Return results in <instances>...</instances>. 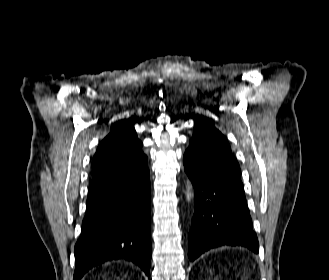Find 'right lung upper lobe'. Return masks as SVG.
<instances>
[{
    "instance_id": "1",
    "label": "right lung upper lobe",
    "mask_w": 329,
    "mask_h": 280,
    "mask_svg": "<svg viewBox=\"0 0 329 280\" xmlns=\"http://www.w3.org/2000/svg\"><path fill=\"white\" fill-rule=\"evenodd\" d=\"M142 145L132 122L119 121L118 127L98 145L93 158L92 176L147 166V157L141 150Z\"/></svg>"
}]
</instances>
